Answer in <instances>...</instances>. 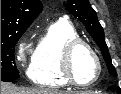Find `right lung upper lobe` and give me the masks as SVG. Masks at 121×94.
Instances as JSON below:
<instances>
[{
	"instance_id": "right-lung-upper-lobe-1",
	"label": "right lung upper lobe",
	"mask_w": 121,
	"mask_h": 94,
	"mask_svg": "<svg viewBox=\"0 0 121 94\" xmlns=\"http://www.w3.org/2000/svg\"><path fill=\"white\" fill-rule=\"evenodd\" d=\"M42 9L40 0H1V34L26 30Z\"/></svg>"
}]
</instances>
